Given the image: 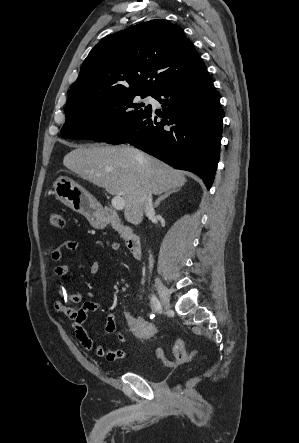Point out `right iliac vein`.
<instances>
[{"label": "right iliac vein", "mask_w": 299, "mask_h": 443, "mask_svg": "<svg viewBox=\"0 0 299 443\" xmlns=\"http://www.w3.org/2000/svg\"><path fill=\"white\" fill-rule=\"evenodd\" d=\"M160 300L165 309H168L170 306V293L168 288L160 281H155Z\"/></svg>", "instance_id": "obj_1"}]
</instances>
